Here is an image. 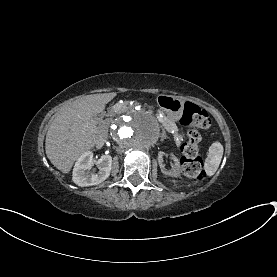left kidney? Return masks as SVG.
Returning <instances> with one entry per match:
<instances>
[{
    "label": "left kidney",
    "instance_id": "5707ae66",
    "mask_svg": "<svg viewBox=\"0 0 277 277\" xmlns=\"http://www.w3.org/2000/svg\"><path fill=\"white\" fill-rule=\"evenodd\" d=\"M163 155H165L164 152H159L158 154V162H159V166L161 168V172L167 176H171V177H178L180 176V162L177 159L176 156H174L173 154H171L173 161L175 162V167L172 170H167L164 168L163 166Z\"/></svg>",
    "mask_w": 277,
    "mask_h": 277
}]
</instances>
